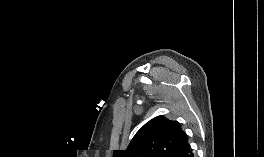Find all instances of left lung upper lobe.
<instances>
[{
	"instance_id": "5c2ea615",
	"label": "left lung upper lobe",
	"mask_w": 264,
	"mask_h": 157,
	"mask_svg": "<svg viewBox=\"0 0 264 157\" xmlns=\"http://www.w3.org/2000/svg\"><path fill=\"white\" fill-rule=\"evenodd\" d=\"M192 154L180 123L158 116L136 133L126 150H115L113 157H190Z\"/></svg>"
}]
</instances>
